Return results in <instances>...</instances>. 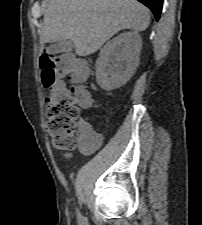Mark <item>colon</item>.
I'll use <instances>...</instances> for the list:
<instances>
[{
  "label": "colon",
  "mask_w": 202,
  "mask_h": 225,
  "mask_svg": "<svg viewBox=\"0 0 202 225\" xmlns=\"http://www.w3.org/2000/svg\"><path fill=\"white\" fill-rule=\"evenodd\" d=\"M42 83L49 90L46 98L45 128L52 138L53 147L69 157L75 147L89 148L92 130L78 123L80 108L77 105L79 89L64 81L65 77L82 83L84 61L75 57H60L44 50L40 57Z\"/></svg>",
  "instance_id": "5ec220e1"
}]
</instances>
